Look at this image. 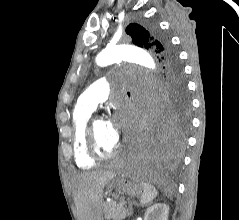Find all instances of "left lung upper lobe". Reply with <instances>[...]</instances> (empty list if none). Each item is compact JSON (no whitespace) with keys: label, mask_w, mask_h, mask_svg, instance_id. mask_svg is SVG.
<instances>
[{"label":"left lung upper lobe","mask_w":239,"mask_h":220,"mask_svg":"<svg viewBox=\"0 0 239 220\" xmlns=\"http://www.w3.org/2000/svg\"><path fill=\"white\" fill-rule=\"evenodd\" d=\"M126 33L136 46L153 51L162 62L168 78L165 109L175 127L184 130L189 122V100L181 66L167 37L154 24L147 27L129 24Z\"/></svg>","instance_id":"left-lung-upper-lobe-1"}]
</instances>
